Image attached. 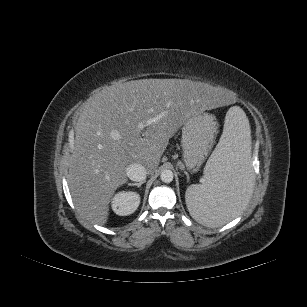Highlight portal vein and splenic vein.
I'll return each instance as SVG.
<instances>
[{"label": "portal vein and splenic vein", "mask_w": 307, "mask_h": 307, "mask_svg": "<svg viewBox=\"0 0 307 307\" xmlns=\"http://www.w3.org/2000/svg\"><path fill=\"white\" fill-rule=\"evenodd\" d=\"M148 123H151V121H148ZM139 128H140V129H143V128H144V124L140 123V124H139Z\"/></svg>", "instance_id": "portal-vein-and-splenic-vein-1"}]
</instances>
